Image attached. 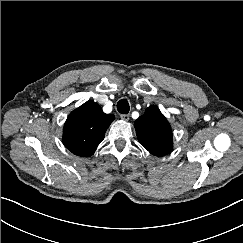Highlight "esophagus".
I'll return each mask as SVG.
<instances>
[{"label": "esophagus", "mask_w": 243, "mask_h": 243, "mask_svg": "<svg viewBox=\"0 0 243 243\" xmlns=\"http://www.w3.org/2000/svg\"><path fill=\"white\" fill-rule=\"evenodd\" d=\"M129 114H121V119L124 121H128L129 120Z\"/></svg>", "instance_id": "obj_1"}]
</instances>
